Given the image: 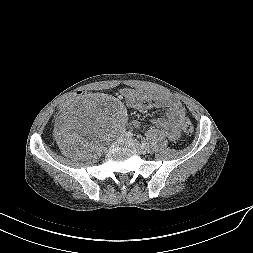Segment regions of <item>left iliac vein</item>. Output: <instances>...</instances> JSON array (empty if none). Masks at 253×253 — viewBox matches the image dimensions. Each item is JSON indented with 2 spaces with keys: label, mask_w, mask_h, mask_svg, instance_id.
<instances>
[{
  "label": "left iliac vein",
  "mask_w": 253,
  "mask_h": 253,
  "mask_svg": "<svg viewBox=\"0 0 253 253\" xmlns=\"http://www.w3.org/2000/svg\"><path fill=\"white\" fill-rule=\"evenodd\" d=\"M123 144L126 147L132 149L133 151H135L138 154H144L145 153V148H143L141 146V144L133 138H125Z\"/></svg>",
  "instance_id": "left-iliac-vein-1"
}]
</instances>
